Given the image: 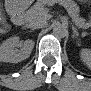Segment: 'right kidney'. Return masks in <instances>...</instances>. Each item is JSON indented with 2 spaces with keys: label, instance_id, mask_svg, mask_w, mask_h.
<instances>
[{
  "label": "right kidney",
  "instance_id": "1",
  "mask_svg": "<svg viewBox=\"0 0 91 91\" xmlns=\"http://www.w3.org/2000/svg\"><path fill=\"white\" fill-rule=\"evenodd\" d=\"M34 45L35 42L32 40L21 42L19 37H11L0 46V60L1 62L18 63L30 56ZM19 47L22 49L19 50Z\"/></svg>",
  "mask_w": 91,
  "mask_h": 91
}]
</instances>
